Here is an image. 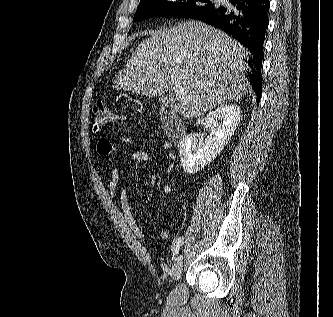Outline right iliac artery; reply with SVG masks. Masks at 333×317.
Wrapping results in <instances>:
<instances>
[{"label": "right iliac artery", "instance_id": "right-iliac-artery-1", "mask_svg": "<svg viewBox=\"0 0 333 317\" xmlns=\"http://www.w3.org/2000/svg\"><path fill=\"white\" fill-rule=\"evenodd\" d=\"M183 243V237H178L172 246V252H173V260L175 259V256L179 252V249Z\"/></svg>", "mask_w": 333, "mask_h": 317}]
</instances>
